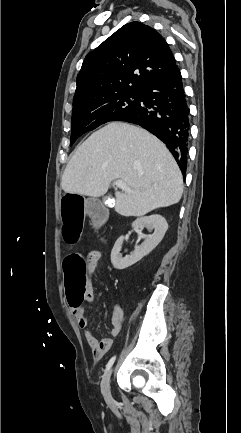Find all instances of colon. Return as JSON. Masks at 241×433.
<instances>
[{
  "label": "colon",
  "instance_id": "1",
  "mask_svg": "<svg viewBox=\"0 0 241 433\" xmlns=\"http://www.w3.org/2000/svg\"><path fill=\"white\" fill-rule=\"evenodd\" d=\"M61 219L62 237L64 243H79L83 237L81 229L86 228L83 214H108V205H102L100 200H83V193L62 192ZM60 266L64 272V295L68 297L67 305H75L80 310V303L88 292L87 269L83 258L72 254L68 258L60 259Z\"/></svg>",
  "mask_w": 241,
  "mask_h": 433
}]
</instances>
